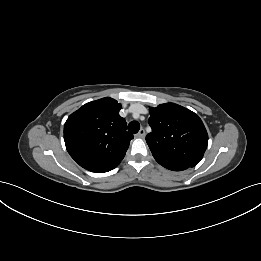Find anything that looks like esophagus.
Here are the masks:
<instances>
[{
	"label": "esophagus",
	"mask_w": 261,
	"mask_h": 261,
	"mask_svg": "<svg viewBox=\"0 0 261 261\" xmlns=\"http://www.w3.org/2000/svg\"><path fill=\"white\" fill-rule=\"evenodd\" d=\"M137 137L139 138H144L145 137V130L140 129L139 132L136 134Z\"/></svg>",
	"instance_id": "esophagus-1"
}]
</instances>
